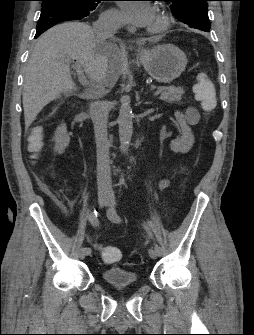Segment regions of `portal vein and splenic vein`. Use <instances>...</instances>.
Here are the masks:
<instances>
[{"instance_id": "portal-vein-and-splenic-vein-1", "label": "portal vein and splenic vein", "mask_w": 254, "mask_h": 335, "mask_svg": "<svg viewBox=\"0 0 254 335\" xmlns=\"http://www.w3.org/2000/svg\"><path fill=\"white\" fill-rule=\"evenodd\" d=\"M73 67L75 68L76 72H77V76H78V80L80 82V84H82L83 86H88L89 81L86 78V76L84 75V71L82 69V65L79 62H76ZM161 93V90L158 89L154 92V97L158 96Z\"/></svg>"}]
</instances>
